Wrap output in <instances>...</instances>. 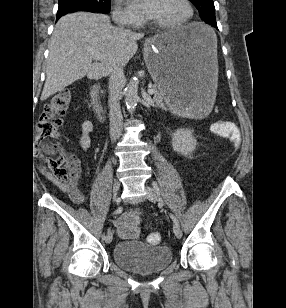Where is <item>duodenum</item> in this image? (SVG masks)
Instances as JSON below:
<instances>
[{
    "instance_id": "duodenum-1",
    "label": "duodenum",
    "mask_w": 286,
    "mask_h": 308,
    "mask_svg": "<svg viewBox=\"0 0 286 308\" xmlns=\"http://www.w3.org/2000/svg\"><path fill=\"white\" fill-rule=\"evenodd\" d=\"M99 91H100V86L98 84H94L90 89V99H91V103H92L94 113L96 114L97 118L99 120H103L104 119V111H103V107H102L100 100H99V97H98Z\"/></svg>"
}]
</instances>
